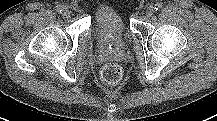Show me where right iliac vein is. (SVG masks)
<instances>
[{
	"label": "right iliac vein",
	"mask_w": 217,
	"mask_h": 121,
	"mask_svg": "<svg viewBox=\"0 0 217 121\" xmlns=\"http://www.w3.org/2000/svg\"><path fill=\"white\" fill-rule=\"evenodd\" d=\"M63 15H64L65 17L69 18V17L71 16V11H70L69 9H65V10L63 11Z\"/></svg>",
	"instance_id": "1"
}]
</instances>
